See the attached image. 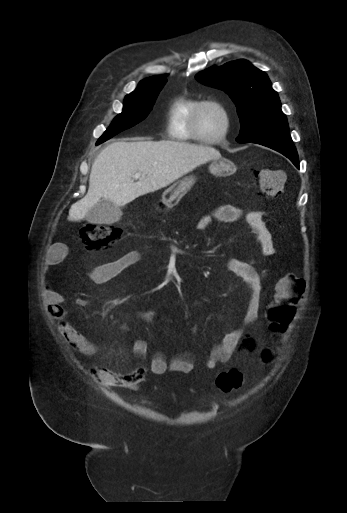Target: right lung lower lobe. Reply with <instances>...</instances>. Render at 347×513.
<instances>
[{
	"instance_id": "right-lung-lower-lobe-1",
	"label": "right lung lower lobe",
	"mask_w": 347,
	"mask_h": 513,
	"mask_svg": "<svg viewBox=\"0 0 347 513\" xmlns=\"http://www.w3.org/2000/svg\"><path fill=\"white\" fill-rule=\"evenodd\" d=\"M99 144H100V142H97V145H99Z\"/></svg>"
}]
</instances>
